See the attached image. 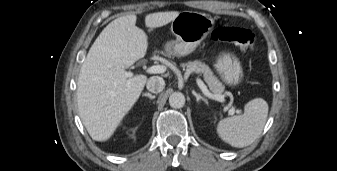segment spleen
I'll return each instance as SVG.
<instances>
[{
  "label": "spleen",
  "instance_id": "obj_1",
  "mask_svg": "<svg viewBox=\"0 0 337 171\" xmlns=\"http://www.w3.org/2000/svg\"><path fill=\"white\" fill-rule=\"evenodd\" d=\"M268 103L262 98L249 101L242 115L227 117L219 121V137L232 147L251 145L262 133L268 116Z\"/></svg>",
  "mask_w": 337,
  "mask_h": 171
}]
</instances>
